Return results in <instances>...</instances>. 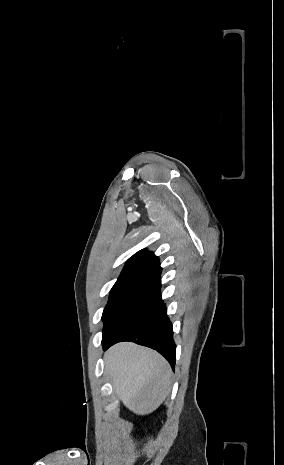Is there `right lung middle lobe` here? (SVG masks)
Segmentation results:
<instances>
[{
    "instance_id": "1",
    "label": "right lung middle lobe",
    "mask_w": 284,
    "mask_h": 465,
    "mask_svg": "<svg viewBox=\"0 0 284 465\" xmlns=\"http://www.w3.org/2000/svg\"><path fill=\"white\" fill-rule=\"evenodd\" d=\"M155 284V281L150 280L118 278L102 315L103 332L127 313Z\"/></svg>"
}]
</instances>
